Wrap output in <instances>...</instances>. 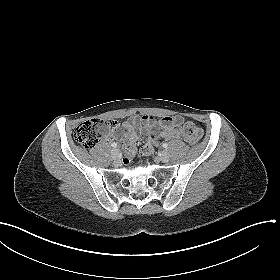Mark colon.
<instances>
[{
	"label": "colon",
	"instance_id": "colon-1",
	"mask_svg": "<svg viewBox=\"0 0 280 280\" xmlns=\"http://www.w3.org/2000/svg\"><path fill=\"white\" fill-rule=\"evenodd\" d=\"M116 125L117 122L115 120L90 119L76 128L74 138L83 147L93 148L105 135L115 128ZM180 127L184 139L188 143H197L203 136L202 129L192 122H181ZM152 151L153 147L149 144H146L141 148V153L143 155H149ZM124 162L128 163L129 158L125 157Z\"/></svg>",
	"mask_w": 280,
	"mask_h": 280
}]
</instances>
